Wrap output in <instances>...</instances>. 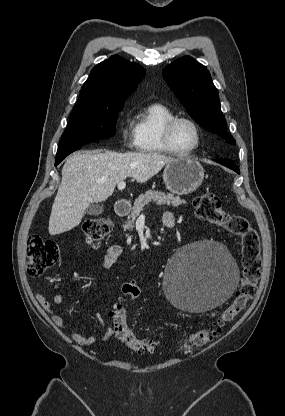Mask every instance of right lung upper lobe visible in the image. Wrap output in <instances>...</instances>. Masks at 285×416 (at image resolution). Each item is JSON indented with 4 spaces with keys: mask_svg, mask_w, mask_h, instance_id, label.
<instances>
[{
    "mask_svg": "<svg viewBox=\"0 0 285 416\" xmlns=\"http://www.w3.org/2000/svg\"><path fill=\"white\" fill-rule=\"evenodd\" d=\"M144 76L142 66L114 55L91 70L77 104L92 106L124 102Z\"/></svg>",
    "mask_w": 285,
    "mask_h": 416,
    "instance_id": "cb5924a9",
    "label": "right lung upper lobe"
}]
</instances>
